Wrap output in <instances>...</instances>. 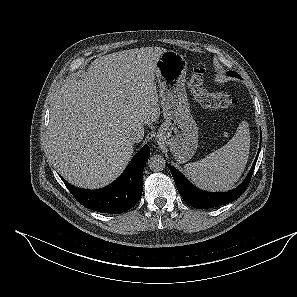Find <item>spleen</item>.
I'll return each instance as SVG.
<instances>
[{
  "label": "spleen",
  "instance_id": "spleen-1",
  "mask_svg": "<svg viewBox=\"0 0 297 297\" xmlns=\"http://www.w3.org/2000/svg\"><path fill=\"white\" fill-rule=\"evenodd\" d=\"M249 150V124L242 121L226 145L200 161L186 164L184 172L200 188L209 191L229 190L244 172Z\"/></svg>",
  "mask_w": 297,
  "mask_h": 297
}]
</instances>
